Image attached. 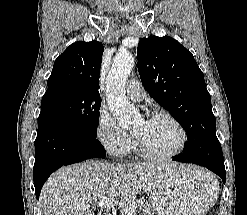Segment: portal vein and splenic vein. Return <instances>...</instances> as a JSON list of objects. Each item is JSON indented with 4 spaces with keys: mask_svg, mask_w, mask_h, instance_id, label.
<instances>
[{
    "mask_svg": "<svg viewBox=\"0 0 247 215\" xmlns=\"http://www.w3.org/2000/svg\"><path fill=\"white\" fill-rule=\"evenodd\" d=\"M99 207H103L107 210L113 209L114 208V204L113 202L108 199V198H103L99 203H98ZM135 213V208L132 207L130 208L129 211H125V215H133Z\"/></svg>",
    "mask_w": 247,
    "mask_h": 215,
    "instance_id": "portal-vein-and-splenic-vein-1",
    "label": "portal vein and splenic vein"
}]
</instances>
